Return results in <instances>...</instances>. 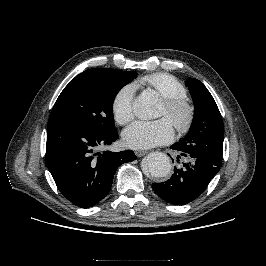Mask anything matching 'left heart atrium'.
I'll return each instance as SVG.
<instances>
[{
    "mask_svg": "<svg viewBox=\"0 0 266 266\" xmlns=\"http://www.w3.org/2000/svg\"><path fill=\"white\" fill-rule=\"evenodd\" d=\"M174 130L167 118L156 121H135L123 132V140L128 147L147 149L170 142Z\"/></svg>",
    "mask_w": 266,
    "mask_h": 266,
    "instance_id": "left-heart-atrium-1",
    "label": "left heart atrium"
}]
</instances>
